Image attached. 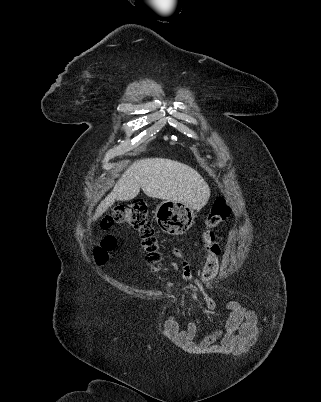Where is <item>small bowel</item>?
<instances>
[{
	"label": "small bowel",
	"mask_w": 321,
	"mask_h": 402,
	"mask_svg": "<svg viewBox=\"0 0 321 402\" xmlns=\"http://www.w3.org/2000/svg\"><path fill=\"white\" fill-rule=\"evenodd\" d=\"M176 255L180 258L185 257V252L177 249ZM182 276L186 281H194L195 284L201 285L197 277L191 270L190 266L183 261L181 263ZM230 311L225 330H207L204 336H200V341H195L198 329L195 324L189 323L186 327L181 328L175 319L167 322V334L170 338L178 342L188 356H194V350L201 353H217L220 358H229L233 353H251L256 344L255 339L259 338L260 322L252 320L255 314L251 307L245 302H231L227 305ZM208 311H214L216 304L208 302L206 304ZM230 333V334H228ZM223 344H219L218 339Z\"/></svg>",
	"instance_id": "obj_1"
}]
</instances>
